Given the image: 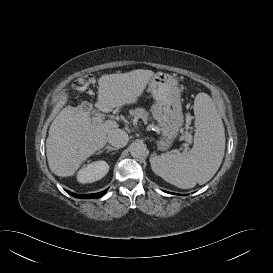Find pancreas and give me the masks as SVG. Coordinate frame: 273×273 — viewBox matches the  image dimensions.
<instances>
[{"mask_svg": "<svg viewBox=\"0 0 273 273\" xmlns=\"http://www.w3.org/2000/svg\"><path fill=\"white\" fill-rule=\"evenodd\" d=\"M130 116L138 119L141 118L144 122H146L149 118L148 112L144 108H135L133 110H130ZM190 135H185L186 140H190Z\"/></svg>", "mask_w": 273, "mask_h": 273, "instance_id": "cf45deb5", "label": "pancreas"}]
</instances>
